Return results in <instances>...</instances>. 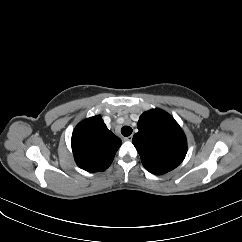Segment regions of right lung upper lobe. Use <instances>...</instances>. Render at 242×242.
I'll return each mask as SVG.
<instances>
[{"instance_id":"cb5924a9","label":"right lung upper lobe","mask_w":242,"mask_h":242,"mask_svg":"<svg viewBox=\"0 0 242 242\" xmlns=\"http://www.w3.org/2000/svg\"><path fill=\"white\" fill-rule=\"evenodd\" d=\"M71 142L77 165L88 172L106 170L122 144L99 115L80 122L73 131Z\"/></svg>"}]
</instances>
